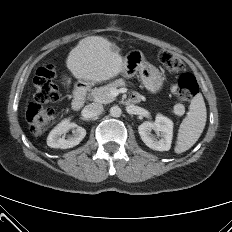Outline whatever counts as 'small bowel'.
Listing matches in <instances>:
<instances>
[{"label": "small bowel", "mask_w": 232, "mask_h": 232, "mask_svg": "<svg viewBox=\"0 0 232 232\" xmlns=\"http://www.w3.org/2000/svg\"><path fill=\"white\" fill-rule=\"evenodd\" d=\"M138 99H139V97H138L137 95H135V96L132 97V100H133V101H136V100H138Z\"/></svg>", "instance_id": "obj_1"}]
</instances>
